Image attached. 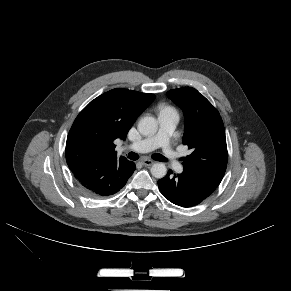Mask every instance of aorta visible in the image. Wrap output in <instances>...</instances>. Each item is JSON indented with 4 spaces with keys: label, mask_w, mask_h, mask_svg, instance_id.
<instances>
[{
    "label": "aorta",
    "mask_w": 291,
    "mask_h": 291,
    "mask_svg": "<svg viewBox=\"0 0 291 291\" xmlns=\"http://www.w3.org/2000/svg\"><path fill=\"white\" fill-rule=\"evenodd\" d=\"M158 130L157 120L152 116H146L138 122V131L144 136H153ZM151 174L155 178H163L167 174V168L164 163L158 162L152 165Z\"/></svg>",
    "instance_id": "obj_1"
}]
</instances>
